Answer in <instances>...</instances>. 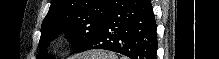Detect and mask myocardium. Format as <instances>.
<instances>
[{
  "mask_svg": "<svg viewBox=\"0 0 219 59\" xmlns=\"http://www.w3.org/2000/svg\"><path fill=\"white\" fill-rule=\"evenodd\" d=\"M68 46V40L66 38H58L51 44V48L55 52H63Z\"/></svg>",
  "mask_w": 219,
  "mask_h": 59,
  "instance_id": "myocardium-1",
  "label": "myocardium"
}]
</instances>
